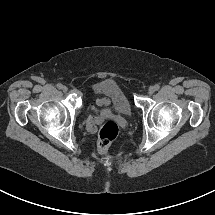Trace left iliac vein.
Listing matches in <instances>:
<instances>
[{
	"instance_id": "4c4485c4",
	"label": "left iliac vein",
	"mask_w": 215,
	"mask_h": 215,
	"mask_svg": "<svg viewBox=\"0 0 215 215\" xmlns=\"http://www.w3.org/2000/svg\"><path fill=\"white\" fill-rule=\"evenodd\" d=\"M155 92V88L153 86L149 87L148 93L149 95H152Z\"/></svg>"
}]
</instances>
